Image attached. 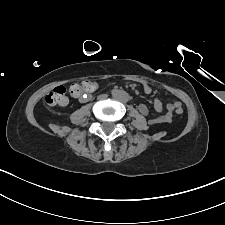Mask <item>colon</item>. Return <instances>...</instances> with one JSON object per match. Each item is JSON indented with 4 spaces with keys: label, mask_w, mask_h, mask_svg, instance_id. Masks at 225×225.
<instances>
[{
    "label": "colon",
    "mask_w": 225,
    "mask_h": 225,
    "mask_svg": "<svg viewBox=\"0 0 225 225\" xmlns=\"http://www.w3.org/2000/svg\"><path fill=\"white\" fill-rule=\"evenodd\" d=\"M94 84L92 81H82L79 83H74L70 86L69 92L72 96L77 97L82 93H87L93 90ZM45 102L48 105H65L68 102L66 96V88L64 86H57L51 91L45 98ZM176 114L181 115L183 113V108L181 106L176 107Z\"/></svg>",
    "instance_id": "colon-1"
}]
</instances>
